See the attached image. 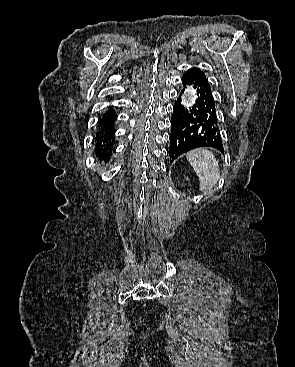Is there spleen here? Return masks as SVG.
<instances>
[{"label":"spleen","mask_w":295,"mask_h":367,"mask_svg":"<svg viewBox=\"0 0 295 367\" xmlns=\"http://www.w3.org/2000/svg\"><path fill=\"white\" fill-rule=\"evenodd\" d=\"M186 158L199 178L202 193H210L220 177L219 164L213 153L198 148L188 152Z\"/></svg>","instance_id":"1"}]
</instances>
